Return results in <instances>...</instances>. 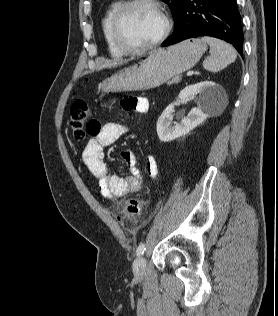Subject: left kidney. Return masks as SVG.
Returning <instances> with one entry per match:
<instances>
[{
    "label": "left kidney",
    "mask_w": 278,
    "mask_h": 316,
    "mask_svg": "<svg viewBox=\"0 0 278 316\" xmlns=\"http://www.w3.org/2000/svg\"><path fill=\"white\" fill-rule=\"evenodd\" d=\"M198 95V107L193 108L180 123L172 126L175 102L163 111L157 121V134L160 141L169 142L188 134L200 125L220 105L224 97V89L213 81H203L185 87L178 99L187 102Z\"/></svg>",
    "instance_id": "1"
}]
</instances>
